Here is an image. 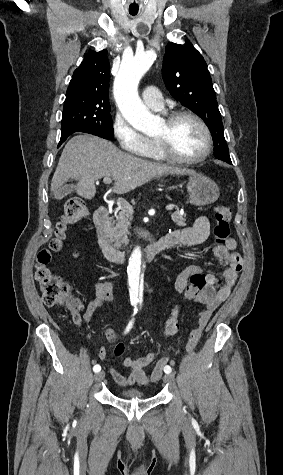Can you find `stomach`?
<instances>
[{
	"mask_svg": "<svg viewBox=\"0 0 283 475\" xmlns=\"http://www.w3.org/2000/svg\"><path fill=\"white\" fill-rule=\"evenodd\" d=\"M187 192L190 204L193 206H207L219 198V188L213 180L203 174H188Z\"/></svg>",
	"mask_w": 283,
	"mask_h": 475,
	"instance_id": "1",
	"label": "stomach"
}]
</instances>
